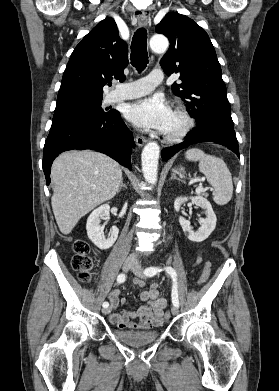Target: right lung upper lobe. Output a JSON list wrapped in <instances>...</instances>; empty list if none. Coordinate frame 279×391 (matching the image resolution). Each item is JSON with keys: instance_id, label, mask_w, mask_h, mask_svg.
Segmentation results:
<instances>
[{"instance_id": "right-lung-upper-lobe-1", "label": "right lung upper lobe", "mask_w": 279, "mask_h": 391, "mask_svg": "<svg viewBox=\"0 0 279 391\" xmlns=\"http://www.w3.org/2000/svg\"><path fill=\"white\" fill-rule=\"evenodd\" d=\"M128 46L113 18L99 22L76 46L64 71L56 109L102 100L103 86L123 81Z\"/></svg>"}]
</instances>
